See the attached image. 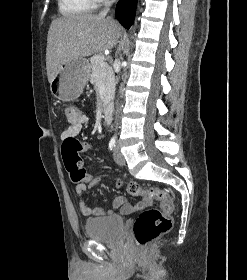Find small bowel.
<instances>
[{
	"mask_svg": "<svg viewBox=\"0 0 247 280\" xmlns=\"http://www.w3.org/2000/svg\"><path fill=\"white\" fill-rule=\"evenodd\" d=\"M89 116L84 113H80L79 118L70 122L69 126L62 132L61 138L62 142L68 139H76V136L81 131L83 125L89 122ZM76 194L79 198L80 210L84 216H103L111 215L114 210L119 209L122 214L131 213L134 210H138L146 206L145 201L139 202L136 206H132L126 202V199L123 196H118L114 199L111 209L104 210L99 207H90L86 204V191H81L76 187Z\"/></svg>",
	"mask_w": 247,
	"mask_h": 280,
	"instance_id": "obj_1",
	"label": "small bowel"
}]
</instances>
